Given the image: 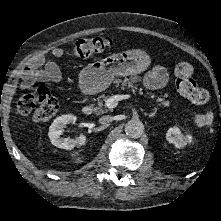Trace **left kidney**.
<instances>
[{
	"label": "left kidney",
	"mask_w": 221,
	"mask_h": 221,
	"mask_svg": "<svg viewBox=\"0 0 221 221\" xmlns=\"http://www.w3.org/2000/svg\"><path fill=\"white\" fill-rule=\"evenodd\" d=\"M166 140L176 148H183L192 142V136L183 135L178 127H171L166 133Z\"/></svg>",
	"instance_id": "5707ae66"
}]
</instances>
